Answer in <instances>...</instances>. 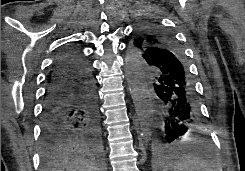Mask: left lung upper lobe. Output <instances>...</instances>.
Listing matches in <instances>:
<instances>
[{
	"label": "left lung upper lobe",
	"mask_w": 245,
	"mask_h": 171,
	"mask_svg": "<svg viewBox=\"0 0 245 171\" xmlns=\"http://www.w3.org/2000/svg\"><path fill=\"white\" fill-rule=\"evenodd\" d=\"M131 43L139 55L140 61L141 59L148 61L154 52L162 50H176L181 53L173 36L155 24L144 23L138 26Z\"/></svg>",
	"instance_id": "obj_1"
}]
</instances>
